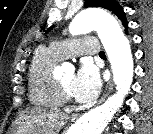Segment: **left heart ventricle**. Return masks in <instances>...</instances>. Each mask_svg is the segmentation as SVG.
<instances>
[{
  "mask_svg": "<svg viewBox=\"0 0 153 134\" xmlns=\"http://www.w3.org/2000/svg\"><path fill=\"white\" fill-rule=\"evenodd\" d=\"M74 73L69 72L61 76L58 81L63 85V87L71 94V87L74 79Z\"/></svg>",
  "mask_w": 153,
  "mask_h": 134,
  "instance_id": "left-heart-ventricle-1",
  "label": "left heart ventricle"
}]
</instances>
